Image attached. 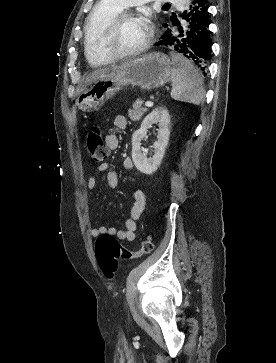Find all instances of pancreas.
I'll list each match as a JSON object with an SVG mask.
<instances>
[{"mask_svg":"<svg viewBox=\"0 0 276 363\" xmlns=\"http://www.w3.org/2000/svg\"><path fill=\"white\" fill-rule=\"evenodd\" d=\"M143 101L138 99L132 106V109H129L128 115L132 121H139L143 114L147 112V108L142 107Z\"/></svg>","mask_w":276,"mask_h":363,"instance_id":"obj_1","label":"pancreas"}]
</instances>
